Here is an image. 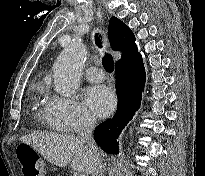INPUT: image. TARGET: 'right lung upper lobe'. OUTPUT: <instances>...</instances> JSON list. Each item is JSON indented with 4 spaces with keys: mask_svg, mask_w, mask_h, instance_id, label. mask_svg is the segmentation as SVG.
<instances>
[{
    "mask_svg": "<svg viewBox=\"0 0 205 176\" xmlns=\"http://www.w3.org/2000/svg\"><path fill=\"white\" fill-rule=\"evenodd\" d=\"M109 41L114 50L122 52V58L116 65L123 64L137 56L138 50L132 31L121 20L111 17L109 21Z\"/></svg>",
    "mask_w": 205,
    "mask_h": 176,
    "instance_id": "right-lung-upper-lobe-1",
    "label": "right lung upper lobe"
}]
</instances>
